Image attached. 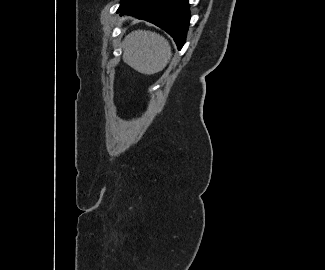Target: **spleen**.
I'll list each match as a JSON object with an SVG mask.
<instances>
[{"mask_svg":"<svg viewBox=\"0 0 325 270\" xmlns=\"http://www.w3.org/2000/svg\"><path fill=\"white\" fill-rule=\"evenodd\" d=\"M122 47L123 61L142 74L162 71L171 58L169 42L151 31H132L125 37Z\"/></svg>","mask_w":325,"mask_h":270,"instance_id":"obj_1","label":"spleen"}]
</instances>
